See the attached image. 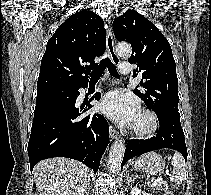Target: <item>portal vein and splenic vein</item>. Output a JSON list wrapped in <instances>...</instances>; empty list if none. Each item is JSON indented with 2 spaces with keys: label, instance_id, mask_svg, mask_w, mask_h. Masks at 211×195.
<instances>
[{
  "label": "portal vein and splenic vein",
  "instance_id": "18ae733b",
  "mask_svg": "<svg viewBox=\"0 0 211 195\" xmlns=\"http://www.w3.org/2000/svg\"><path fill=\"white\" fill-rule=\"evenodd\" d=\"M159 181H160L159 179H156L154 182H152L151 187L156 186V185L158 184Z\"/></svg>",
  "mask_w": 211,
  "mask_h": 195
}]
</instances>
